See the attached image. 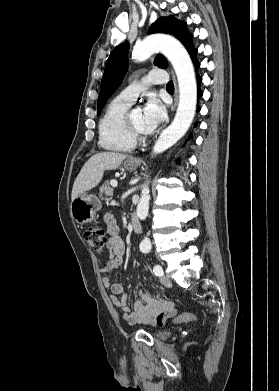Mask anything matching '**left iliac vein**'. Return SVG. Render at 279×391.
Segmentation results:
<instances>
[{
    "label": "left iliac vein",
    "instance_id": "4c4485c4",
    "mask_svg": "<svg viewBox=\"0 0 279 391\" xmlns=\"http://www.w3.org/2000/svg\"><path fill=\"white\" fill-rule=\"evenodd\" d=\"M160 282L163 286L165 287H170L171 286V280L167 276H162L160 278Z\"/></svg>",
    "mask_w": 279,
    "mask_h": 391
}]
</instances>
